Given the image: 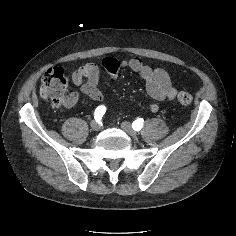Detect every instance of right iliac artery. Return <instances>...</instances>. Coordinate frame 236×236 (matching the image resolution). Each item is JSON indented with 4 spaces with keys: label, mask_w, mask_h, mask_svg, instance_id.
I'll list each match as a JSON object with an SVG mask.
<instances>
[{
    "label": "right iliac artery",
    "mask_w": 236,
    "mask_h": 236,
    "mask_svg": "<svg viewBox=\"0 0 236 236\" xmlns=\"http://www.w3.org/2000/svg\"><path fill=\"white\" fill-rule=\"evenodd\" d=\"M105 112H106L105 106L101 105V106L97 107L95 110V113H94V117H95L96 121L100 120L103 117V115L105 114Z\"/></svg>",
    "instance_id": "right-iliac-artery-1"
}]
</instances>
